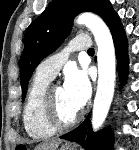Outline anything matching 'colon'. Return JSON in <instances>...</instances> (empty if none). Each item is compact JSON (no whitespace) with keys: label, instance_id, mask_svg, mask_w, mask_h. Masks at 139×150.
I'll return each instance as SVG.
<instances>
[{"label":"colon","instance_id":"1","mask_svg":"<svg viewBox=\"0 0 139 150\" xmlns=\"http://www.w3.org/2000/svg\"><path fill=\"white\" fill-rule=\"evenodd\" d=\"M16 150H26V149H25V148H20V147H19V148H17Z\"/></svg>","mask_w":139,"mask_h":150}]
</instances>
